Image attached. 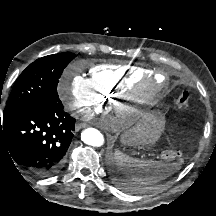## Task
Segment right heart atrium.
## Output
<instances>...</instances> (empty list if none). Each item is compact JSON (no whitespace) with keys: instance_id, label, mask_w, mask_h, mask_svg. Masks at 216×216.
Masks as SVG:
<instances>
[{"instance_id":"right-heart-atrium-1","label":"right heart atrium","mask_w":216,"mask_h":216,"mask_svg":"<svg viewBox=\"0 0 216 216\" xmlns=\"http://www.w3.org/2000/svg\"><path fill=\"white\" fill-rule=\"evenodd\" d=\"M59 95L67 108L79 116H88L101 106L91 80L80 74L65 72L59 82Z\"/></svg>"}]
</instances>
